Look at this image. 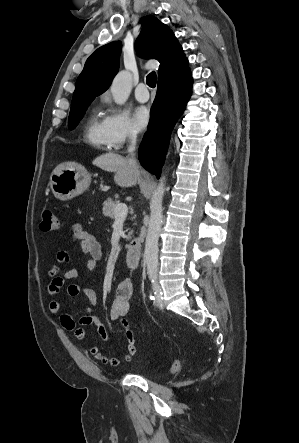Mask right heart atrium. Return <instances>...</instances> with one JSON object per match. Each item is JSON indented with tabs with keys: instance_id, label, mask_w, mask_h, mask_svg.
<instances>
[{
	"instance_id": "1",
	"label": "right heart atrium",
	"mask_w": 299,
	"mask_h": 443,
	"mask_svg": "<svg viewBox=\"0 0 299 443\" xmlns=\"http://www.w3.org/2000/svg\"><path fill=\"white\" fill-rule=\"evenodd\" d=\"M103 100L109 104L108 96H104ZM104 129L110 147L115 149L135 141L138 135L127 112L113 106L109 107L104 118Z\"/></svg>"
}]
</instances>
